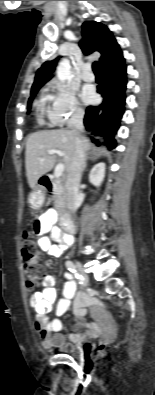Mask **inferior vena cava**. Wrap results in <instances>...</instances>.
Segmentation results:
<instances>
[{"label": "inferior vena cava", "instance_id": "obj_1", "mask_svg": "<svg viewBox=\"0 0 155 395\" xmlns=\"http://www.w3.org/2000/svg\"><path fill=\"white\" fill-rule=\"evenodd\" d=\"M83 116L79 112L75 117L74 126L78 131H83ZM84 149L80 139L77 140L75 153L72 157L71 163L67 168L66 180V205L70 213L74 214L78 208L79 202V186L81 180V173L84 164Z\"/></svg>", "mask_w": 155, "mask_h": 395}]
</instances>
